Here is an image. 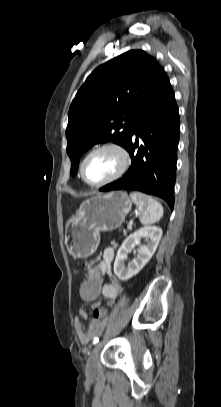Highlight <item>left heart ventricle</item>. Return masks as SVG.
Segmentation results:
<instances>
[{
    "label": "left heart ventricle",
    "mask_w": 221,
    "mask_h": 407,
    "mask_svg": "<svg viewBox=\"0 0 221 407\" xmlns=\"http://www.w3.org/2000/svg\"><path fill=\"white\" fill-rule=\"evenodd\" d=\"M121 165L119 155L113 150H103L92 155L85 165L88 181L97 183L114 175Z\"/></svg>",
    "instance_id": "b2bd125f"
}]
</instances>
